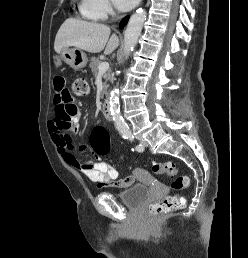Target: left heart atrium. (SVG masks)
I'll return each instance as SVG.
<instances>
[{"mask_svg":"<svg viewBox=\"0 0 248 258\" xmlns=\"http://www.w3.org/2000/svg\"><path fill=\"white\" fill-rule=\"evenodd\" d=\"M116 7L121 11H126L134 7L139 0H113Z\"/></svg>","mask_w":248,"mask_h":258,"instance_id":"39dd6f15","label":"left heart atrium"}]
</instances>
